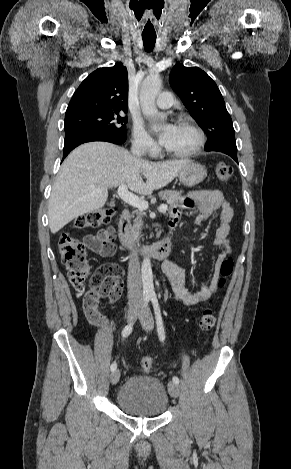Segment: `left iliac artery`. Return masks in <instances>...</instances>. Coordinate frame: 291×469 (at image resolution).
<instances>
[{
  "label": "left iliac artery",
  "mask_w": 291,
  "mask_h": 469,
  "mask_svg": "<svg viewBox=\"0 0 291 469\" xmlns=\"http://www.w3.org/2000/svg\"><path fill=\"white\" fill-rule=\"evenodd\" d=\"M150 299L152 301L154 311H155L158 335H159L160 340L163 342L165 340V331H164L163 320H162L161 311H160V307H159L156 294L152 293L150 295ZM172 380L175 384L177 385L179 384V378L177 376H174Z\"/></svg>",
  "instance_id": "1"
}]
</instances>
